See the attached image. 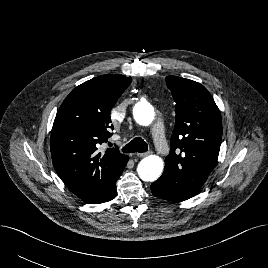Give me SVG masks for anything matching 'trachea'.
Returning <instances> with one entry per match:
<instances>
[{"mask_svg":"<svg viewBox=\"0 0 268 268\" xmlns=\"http://www.w3.org/2000/svg\"><path fill=\"white\" fill-rule=\"evenodd\" d=\"M148 150L147 143L141 138L136 137L125 147L122 148L123 152L133 153V152H146Z\"/></svg>","mask_w":268,"mask_h":268,"instance_id":"trachea-1","label":"trachea"}]
</instances>
